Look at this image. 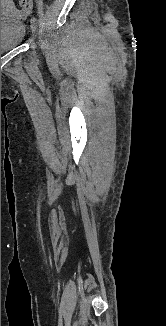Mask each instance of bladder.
<instances>
[{
  "label": "bladder",
  "mask_w": 166,
  "mask_h": 326,
  "mask_svg": "<svg viewBox=\"0 0 166 326\" xmlns=\"http://www.w3.org/2000/svg\"><path fill=\"white\" fill-rule=\"evenodd\" d=\"M25 34V24L20 18L1 14V53L18 47Z\"/></svg>",
  "instance_id": "1"
}]
</instances>
